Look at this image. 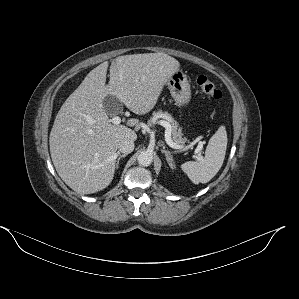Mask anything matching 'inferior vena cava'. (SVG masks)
Masks as SVG:
<instances>
[{"label":"inferior vena cava","mask_w":299,"mask_h":299,"mask_svg":"<svg viewBox=\"0 0 299 299\" xmlns=\"http://www.w3.org/2000/svg\"><path fill=\"white\" fill-rule=\"evenodd\" d=\"M118 150L121 153L129 154L134 150V141L129 138H123L118 143Z\"/></svg>","instance_id":"602c4592"}]
</instances>
